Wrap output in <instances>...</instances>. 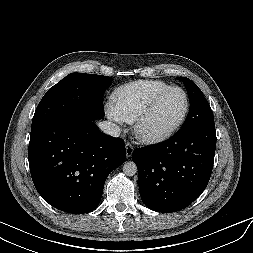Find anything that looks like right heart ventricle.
<instances>
[{"label": "right heart ventricle", "instance_id": "e07e8e85", "mask_svg": "<svg viewBox=\"0 0 253 253\" xmlns=\"http://www.w3.org/2000/svg\"><path fill=\"white\" fill-rule=\"evenodd\" d=\"M168 87L169 84L160 80H139L128 83L115 93L113 106L122 121L135 123L149 101Z\"/></svg>", "mask_w": 253, "mask_h": 253}]
</instances>
